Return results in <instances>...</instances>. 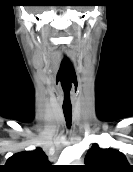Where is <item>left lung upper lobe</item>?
<instances>
[{"mask_svg": "<svg viewBox=\"0 0 133 172\" xmlns=\"http://www.w3.org/2000/svg\"><path fill=\"white\" fill-rule=\"evenodd\" d=\"M85 172H127L132 168L124 154L114 149H101L94 144L85 157Z\"/></svg>", "mask_w": 133, "mask_h": 172, "instance_id": "left-lung-upper-lobe-1", "label": "left lung upper lobe"}]
</instances>
